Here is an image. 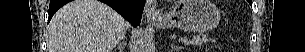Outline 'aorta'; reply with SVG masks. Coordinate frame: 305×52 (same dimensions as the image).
Returning <instances> with one entry per match:
<instances>
[{
	"label": "aorta",
	"instance_id": "aorta-1",
	"mask_svg": "<svg viewBox=\"0 0 305 52\" xmlns=\"http://www.w3.org/2000/svg\"><path fill=\"white\" fill-rule=\"evenodd\" d=\"M152 45L144 29H138L135 42V52H151Z\"/></svg>",
	"mask_w": 305,
	"mask_h": 52
}]
</instances>
